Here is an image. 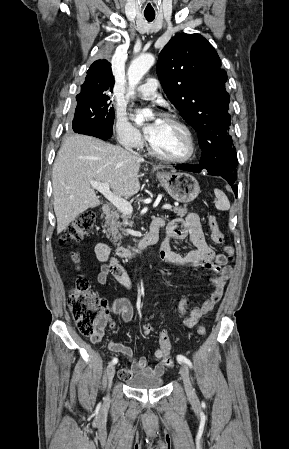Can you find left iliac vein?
Here are the masks:
<instances>
[{
  "label": "left iliac vein",
  "mask_w": 289,
  "mask_h": 449,
  "mask_svg": "<svg viewBox=\"0 0 289 449\" xmlns=\"http://www.w3.org/2000/svg\"><path fill=\"white\" fill-rule=\"evenodd\" d=\"M180 375L184 383L186 393L189 397H194L195 393L191 384L189 368L186 364H182L180 367Z\"/></svg>",
  "instance_id": "obj_1"
}]
</instances>
